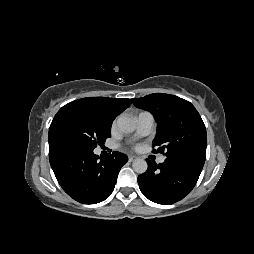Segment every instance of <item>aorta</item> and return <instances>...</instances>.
<instances>
[{"label":"aorta","instance_id":"762f6f07","mask_svg":"<svg viewBox=\"0 0 254 254\" xmlns=\"http://www.w3.org/2000/svg\"><path fill=\"white\" fill-rule=\"evenodd\" d=\"M117 126L118 129L125 134L132 133L136 128L135 121L126 116L120 117L117 120ZM132 168L136 173L143 174L146 172L148 165L144 159L137 158L133 161Z\"/></svg>","mask_w":254,"mask_h":254}]
</instances>
